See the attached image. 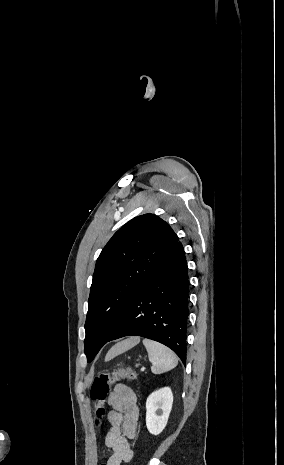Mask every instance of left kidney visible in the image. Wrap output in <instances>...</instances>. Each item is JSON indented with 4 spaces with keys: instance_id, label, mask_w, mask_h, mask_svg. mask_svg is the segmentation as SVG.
Segmentation results:
<instances>
[{
    "instance_id": "obj_1",
    "label": "left kidney",
    "mask_w": 284,
    "mask_h": 465,
    "mask_svg": "<svg viewBox=\"0 0 284 465\" xmlns=\"http://www.w3.org/2000/svg\"><path fill=\"white\" fill-rule=\"evenodd\" d=\"M173 405L169 387L154 391L146 401V427L151 435H160L167 425Z\"/></svg>"
}]
</instances>
